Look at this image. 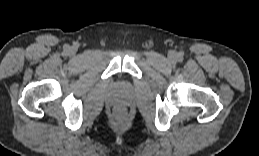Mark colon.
Masks as SVG:
<instances>
[{"mask_svg":"<svg viewBox=\"0 0 259 156\" xmlns=\"http://www.w3.org/2000/svg\"><path fill=\"white\" fill-rule=\"evenodd\" d=\"M115 117L118 121H122L125 118V110L123 108H117L115 110Z\"/></svg>","mask_w":259,"mask_h":156,"instance_id":"obj_1","label":"colon"}]
</instances>
